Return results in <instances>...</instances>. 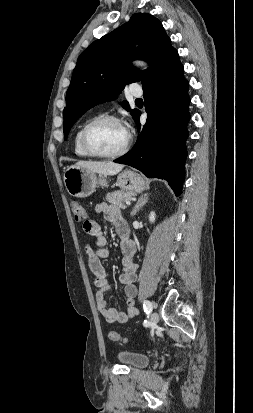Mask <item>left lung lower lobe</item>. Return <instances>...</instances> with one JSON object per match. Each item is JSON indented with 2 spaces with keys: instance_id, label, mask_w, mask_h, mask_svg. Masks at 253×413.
<instances>
[{
  "instance_id": "left-lung-lower-lobe-1",
  "label": "left lung lower lobe",
  "mask_w": 253,
  "mask_h": 413,
  "mask_svg": "<svg viewBox=\"0 0 253 413\" xmlns=\"http://www.w3.org/2000/svg\"><path fill=\"white\" fill-rule=\"evenodd\" d=\"M183 71L178 52L174 50L156 76L142 86L148 113L146 124L133 149L114 160L140 170L149 178L168 181L176 196L181 194L185 179V140L190 119L189 84ZM139 116L140 112L135 122L140 131Z\"/></svg>"
}]
</instances>
